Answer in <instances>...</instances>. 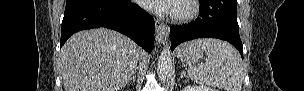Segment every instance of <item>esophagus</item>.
<instances>
[{"mask_svg":"<svg viewBox=\"0 0 304 91\" xmlns=\"http://www.w3.org/2000/svg\"><path fill=\"white\" fill-rule=\"evenodd\" d=\"M169 27L160 20L155 19V38L158 43H166Z\"/></svg>","mask_w":304,"mask_h":91,"instance_id":"esophagus-1","label":"esophagus"}]
</instances>
